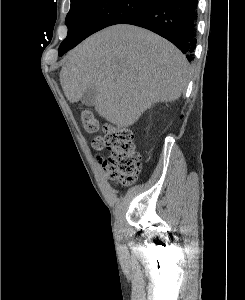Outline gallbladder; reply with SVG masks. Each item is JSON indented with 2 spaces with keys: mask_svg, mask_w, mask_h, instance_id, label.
<instances>
[{
  "mask_svg": "<svg viewBox=\"0 0 245 300\" xmlns=\"http://www.w3.org/2000/svg\"><path fill=\"white\" fill-rule=\"evenodd\" d=\"M97 95V88L92 85L86 89L82 96V102L87 106H93L95 97Z\"/></svg>",
  "mask_w": 245,
  "mask_h": 300,
  "instance_id": "1",
  "label": "gallbladder"
}]
</instances>
